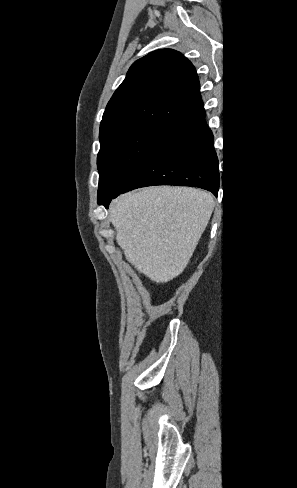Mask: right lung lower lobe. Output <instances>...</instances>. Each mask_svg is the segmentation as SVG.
<instances>
[{"instance_id": "1", "label": "right lung lower lobe", "mask_w": 297, "mask_h": 488, "mask_svg": "<svg viewBox=\"0 0 297 488\" xmlns=\"http://www.w3.org/2000/svg\"><path fill=\"white\" fill-rule=\"evenodd\" d=\"M205 116L171 131L120 193L152 185H182L203 188L217 196L218 158ZM111 200L102 205L108 208Z\"/></svg>"}]
</instances>
